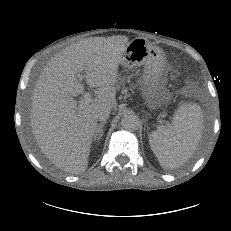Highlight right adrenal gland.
Instances as JSON below:
<instances>
[{
  "label": "right adrenal gland",
  "instance_id": "1",
  "mask_svg": "<svg viewBox=\"0 0 231 231\" xmlns=\"http://www.w3.org/2000/svg\"><path fill=\"white\" fill-rule=\"evenodd\" d=\"M106 124V122H102V123H100L99 125H98V129H97V132H96V134H95V136H94V140L96 141H99L100 139H101V137L103 136V134H104V129H103V127H104V125Z\"/></svg>",
  "mask_w": 231,
  "mask_h": 231
}]
</instances>
